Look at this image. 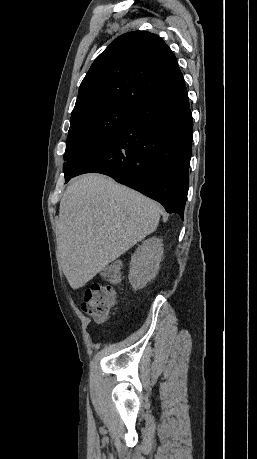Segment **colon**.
I'll use <instances>...</instances> for the list:
<instances>
[{
  "instance_id": "1",
  "label": "colon",
  "mask_w": 257,
  "mask_h": 459,
  "mask_svg": "<svg viewBox=\"0 0 257 459\" xmlns=\"http://www.w3.org/2000/svg\"><path fill=\"white\" fill-rule=\"evenodd\" d=\"M122 267L118 263H112L103 270V276L112 284L120 281ZM115 290L110 285L92 284L85 292L82 309L85 313L94 316L98 320L105 319L115 305Z\"/></svg>"
}]
</instances>
